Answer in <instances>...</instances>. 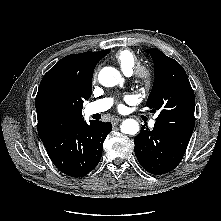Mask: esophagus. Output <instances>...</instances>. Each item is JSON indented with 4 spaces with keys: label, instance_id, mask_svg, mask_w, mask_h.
Masks as SVG:
<instances>
[{
    "label": "esophagus",
    "instance_id": "obj_1",
    "mask_svg": "<svg viewBox=\"0 0 221 221\" xmlns=\"http://www.w3.org/2000/svg\"><path fill=\"white\" fill-rule=\"evenodd\" d=\"M122 120H123V119H121V118H115V119H113L112 123H113V125H117V124L120 123Z\"/></svg>",
    "mask_w": 221,
    "mask_h": 221
}]
</instances>
